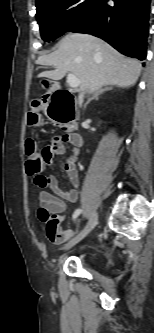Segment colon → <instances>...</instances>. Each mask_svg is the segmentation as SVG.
<instances>
[{
	"instance_id": "colon-1",
	"label": "colon",
	"mask_w": 154,
	"mask_h": 333,
	"mask_svg": "<svg viewBox=\"0 0 154 333\" xmlns=\"http://www.w3.org/2000/svg\"><path fill=\"white\" fill-rule=\"evenodd\" d=\"M57 96H54V99ZM41 101H35L33 103V110L29 113L28 122L31 126H36L39 123V114L38 111L41 108ZM58 123L66 130H69L66 123L64 121H58ZM25 155H26V171L30 175L38 174L42 168V158L37 150L36 143L33 139H27L25 142ZM43 224L45 226V230L48 238L51 241H56L60 238L59 233V218L55 215L48 216L43 219Z\"/></svg>"
}]
</instances>
